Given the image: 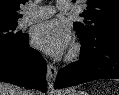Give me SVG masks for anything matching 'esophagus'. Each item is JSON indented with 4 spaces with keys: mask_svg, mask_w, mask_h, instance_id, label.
Wrapping results in <instances>:
<instances>
[{
    "mask_svg": "<svg viewBox=\"0 0 119 95\" xmlns=\"http://www.w3.org/2000/svg\"><path fill=\"white\" fill-rule=\"evenodd\" d=\"M56 75H57V68L53 64L48 62L46 78H47V84H48L49 89H53Z\"/></svg>",
    "mask_w": 119,
    "mask_h": 95,
    "instance_id": "obj_1",
    "label": "esophagus"
}]
</instances>
